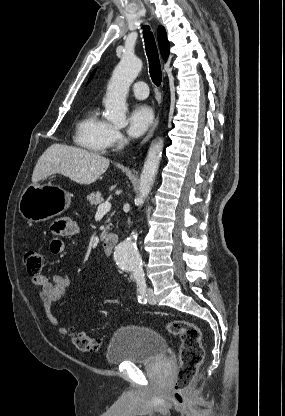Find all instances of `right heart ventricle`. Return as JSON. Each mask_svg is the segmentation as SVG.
I'll list each match as a JSON object with an SVG mask.
<instances>
[{"label":"right heart ventricle","instance_id":"obj_1","mask_svg":"<svg viewBox=\"0 0 285 416\" xmlns=\"http://www.w3.org/2000/svg\"><path fill=\"white\" fill-rule=\"evenodd\" d=\"M110 126L100 116L98 109L91 107L78 122L74 141L78 146L89 152L101 153L106 148V137Z\"/></svg>","mask_w":285,"mask_h":416}]
</instances>
